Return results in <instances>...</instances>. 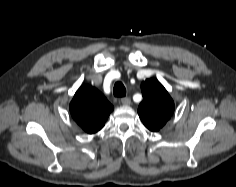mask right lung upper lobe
Listing matches in <instances>:
<instances>
[{
	"label": "right lung upper lobe",
	"instance_id": "1",
	"mask_svg": "<svg viewBox=\"0 0 236 187\" xmlns=\"http://www.w3.org/2000/svg\"><path fill=\"white\" fill-rule=\"evenodd\" d=\"M113 109L104 95L90 85L81 86L70 103L73 119L88 134L98 132Z\"/></svg>",
	"mask_w": 236,
	"mask_h": 187
}]
</instances>
